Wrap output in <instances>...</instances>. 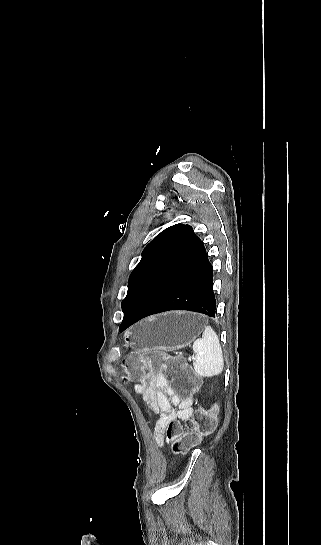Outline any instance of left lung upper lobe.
<instances>
[{
	"label": "left lung upper lobe",
	"instance_id": "obj_1",
	"mask_svg": "<svg viewBox=\"0 0 321 545\" xmlns=\"http://www.w3.org/2000/svg\"><path fill=\"white\" fill-rule=\"evenodd\" d=\"M186 225L176 224L159 233L143 250L142 258L131 273L128 292L122 301L124 316L144 290L150 279L163 265Z\"/></svg>",
	"mask_w": 321,
	"mask_h": 545
}]
</instances>
